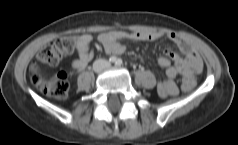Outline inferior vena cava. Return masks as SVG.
I'll list each match as a JSON object with an SVG mask.
<instances>
[{"label": "inferior vena cava", "instance_id": "obj_1", "mask_svg": "<svg viewBox=\"0 0 238 145\" xmlns=\"http://www.w3.org/2000/svg\"><path fill=\"white\" fill-rule=\"evenodd\" d=\"M109 65L108 61L105 59H97L93 63V69L96 72L102 71L104 68H106Z\"/></svg>", "mask_w": 238, "mask_h": 145}]
</instances>
